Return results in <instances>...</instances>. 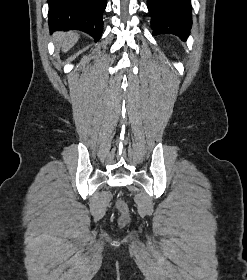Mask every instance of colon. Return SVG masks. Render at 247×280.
<instances>
[{
	"label": "colon",
	"instance_id": "colon-1",
	"mask_svg": "<svg viewBox=\"0 0 247 280\" xmlns=\"http://www.w3.org/2000/svg\"><path fill=\"white\" fill-rule=\"evenodd\" d=\"M117 208L119 209L121 215H122V220L124 221L127 217L128 214V208L126 203L122 199L117 200Z\"/></svg>",
	"mask_w": 247,
	"mask_h": 280
}]
</instances>
